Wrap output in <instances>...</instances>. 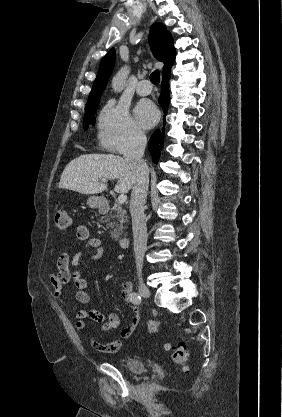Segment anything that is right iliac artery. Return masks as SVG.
Listing matches in <instances>:
<instances>
[{
    "instance_id": "right-iliac-artery-1",
    "label": "right iliac artery",
    "mask_w": 282,
    "mask_h": 417,
    "mask_svg": "<svg viewBox=\"0 0 282 417\" xmlns=\"http://www.w3.org/2000/svg\"><path fill=\"white\" fill-rule=\"evenodd\" d=\"M130 300H131V302H132L133 304H135V305H139V304H141V296H140L138 293H136V292H133V293L131 294V298H130Z\"/></svg>"
}]
</instances>
